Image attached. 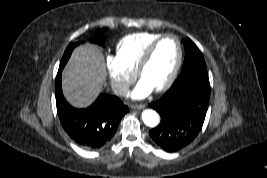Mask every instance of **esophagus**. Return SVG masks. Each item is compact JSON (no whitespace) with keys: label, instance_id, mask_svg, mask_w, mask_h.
Returning a JSON list of instances; mask_svg holds the SVG:
<instances>
[{"label":"esophagus","instance_id":"esophagus-1","mask_svg":"<svg viewBox=\"0 0 267 178\" xmlns=\"http://www.w3.org/2000/svg\"><path fill=\"white\" fill-rule=\"evenodd\" d=\"M132 109H143L145 108L144 104H139V105H131L130 106Z\"/></svg>","mask_w":267,"mask_h":178}]
</instances>
